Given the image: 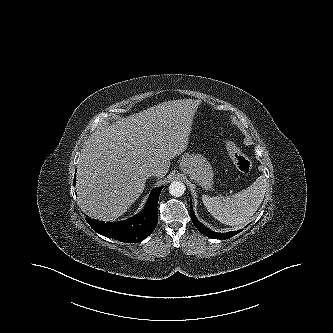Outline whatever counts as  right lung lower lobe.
Wrapping results in <instances>:
<instances>
[{
  "instance_id": "1",
  "label": "right lung lower lobe",
  "mask_w": 333,
  "mask_h": 333,
  "mask_svg": "<svg viewBox=\"0 0 333 333\" xmlns=\"http://www.w3.org/2000/svg\"><path fill=\"white\" fill-rule=\"evenodd\" d=\"M163 187L153 189L144 210L135 217L119 222H103L91 218L86 221L97 233L125 243L147 238L157 225V204Z\"/></svg>"
}]
</instances>
